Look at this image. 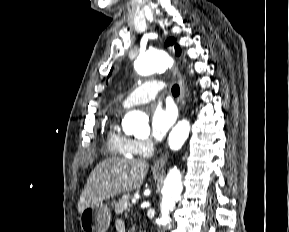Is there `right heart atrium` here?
I'll return each instance as SVG.
<instances>
[{
	"instance_id": "obj_1",
	"label": "right heart atrium",
	"mask_w": 289,
	"mask_h": 232,
	"mask_svg": "<svg viewBox=\"0 0 289 232\" xmlns=\"http://www.w3.org/2000/svg\"><path fill=\"white\" fill-rule=\"evenodd\" d=\"M151 142L148 139H138L135 140V148L137 151V154L140 155H146L150 152L151 149Z\"/></svg>"
}]
</instances>
